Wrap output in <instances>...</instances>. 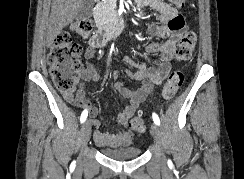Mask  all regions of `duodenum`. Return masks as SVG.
<instances>
[{"label":"duodenum","mask_w":244,"mask_h":179,"mask_svg":"<svg viewBox=\"0 0 244 179\" xmlns=\"http://www.w3.org/2000/svg\"><path fill=\"white\" fill-rule=\"evenodd\" d=\"M97 3H101L102 0H96ZM126 23V16L124 13H118L113 23H101L99 30L92 37V43L99 46L106 45L113 36L117 35Z\"/></svg>","instance_id":"1"}]
</instances>
